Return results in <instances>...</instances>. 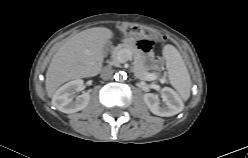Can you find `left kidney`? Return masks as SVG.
Wrapping results in <instances>:
<instances>
[{
	"label": "left kidney",
	"instance_id": "1",
	"mask_svg": "<svg viewBox=\"0 0 248 158\" xmlns=\"http://www.w3.org/2000/svg\"><path fill=\"white\" fill-rule=\"evenodd\" d=\"M143 100L153 114L161 117L174 116L183 109L178 96L168 87L163 88L160 92L145 93Z\"/></svg>",
	"mask_w": 248,
	"mask_h": 158
}]
</instances>
